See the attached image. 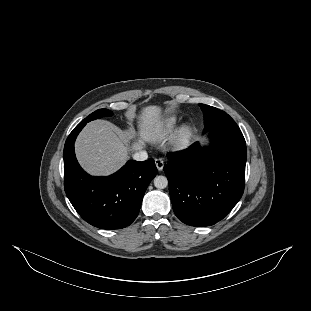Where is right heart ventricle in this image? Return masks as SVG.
<instances>
[{
  "instance_id": "1",
  "label": "right heart ventricle",
  "mask_w": 311,
  "mask_h": 311,
  "mask_svg": "<svg viewBox=\"0 0 311 311\" xmlns=\"http://www.w3.org/2000/svg\"><path fill=\"white\" fill-rule=\"evenodd\" d=\"M179 119L175 115H168L153 122L152 136L157 139L170 137L178 128Z\"/></svg>"
}]
</instances>
